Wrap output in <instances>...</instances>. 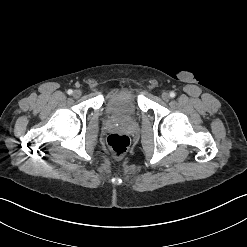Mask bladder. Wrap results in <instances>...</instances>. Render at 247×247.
Wrapping results in <instances>:
<instances>
[{"mask_svg": "<svg viewBox=\"0 0 247 247\" xmlns=\"http://www.w3.org/2000/svg\"><path fill=\"white\" fill-rule=\"evenodd\" d=\"M138 97L134 89L118 88L110 90L106 95V111L117 118H127L136 114Z\"/></svg>", "mask_w": 247, "mask_h": 247, "instance_id": "31cf9c89", "label": "bladder"}]
</instances>
